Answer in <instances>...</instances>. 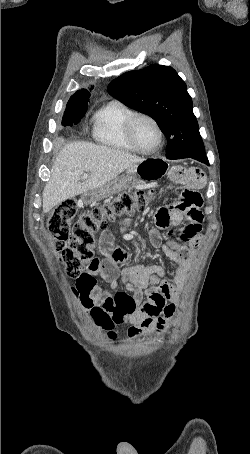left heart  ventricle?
<instances>
[{"label": "left heart ventricle", "mask_w": 250, "mask_h": 454, "mask_svg": "<svg viewBox=\"0 0 250 454\" xmlns=\"http://www.w3.org/2000/svg\"><path fill=\"white\" fill-rule=\"evenodd\" d=\"M135 138L137 143L146 150L154 148L159 141L158 132L155 126L146 119H141L137 122L135 127Z\"/></svg>", "instance_id": "obj_1"}]
</instances>
